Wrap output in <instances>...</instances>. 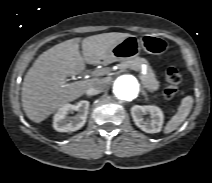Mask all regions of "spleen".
<instances>
[{"label": "spleen", "mask_w": 212, "mask_h": 183, "mask_svg": "<svg viewBox=\"0 0 212 183\" xmlns=\"http://www.w3.org/2000/svg\"><path fill=\"white\" fill-rule=\"evenodd\" d=\"M193 97L186 96L182 99L181 105L178 107V112L171 118L164 128V133L168 134L176 130L178 126L184 122L189 115L193 106Z\"/></svg>", "instance_id": "spleen-1"}]
</instances>
